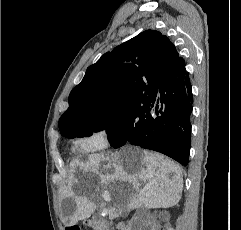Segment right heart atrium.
Listing matches in <instances>:
<instances>
[{"mask_svg": "<svg viewBox=\"0 0 241 230\" xmlns=\"http://www.w3.org/2000/svg\"><path fill=\"white\" fill-rule=\"evenodd\" d=\"M110 143L111 137L107 128L96 129L80 140L82 149L89 152L105 150Z\"/></svg>", "mask_w": 241, "mask_h": 230, "instance_id": "1", "label": "right heart atrium"}]
</instances>
